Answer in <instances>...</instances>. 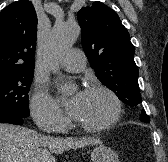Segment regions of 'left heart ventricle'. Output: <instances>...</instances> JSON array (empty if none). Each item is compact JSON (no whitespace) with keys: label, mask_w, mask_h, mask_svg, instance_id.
Here are the masks:
<instances>
[{"label":"left heart ventricle","mask_w":168,"mask_h":162,"mask_svg":"<svg viewBox=\"0 0 168 162\" xmlns=\"http://www.w3.org/2000/svg\"><path fill=\"white\" fill-rule=\"evenodd\" d=\"M113 112L110 98L103 92H85L77 119L87 124H100Z\"/></svg>","instance_id":"b2bd125f"}]
</instances>
